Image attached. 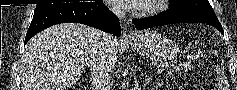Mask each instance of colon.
Wrapping results in <instances>:
<instances>
[{
    "label": "colon",
    "instance_id": "1",
    "mask_svg": "<svg viewBox=\"0 0 237 90\" xmlns=\"http://www.w3.org/2000/svg\"><path fill=\"white\" fill-rule=\"evenodd\" d=\"M216 82L218 90H230L228 78L221 69H217Z\"/></svg>",
    "mask_w": 237,
    "mask_h": 90
}]
</instances>
